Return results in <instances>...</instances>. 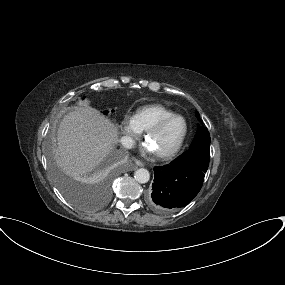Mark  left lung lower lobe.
<instances>
[{"label": "left lung lower lobe", "mask_w": 285, "mask_h": 285, "mask_svg": "<svg viewBox=\"0 0 285 285\" xmlns=\"http://www.w3.org/2000/svg\"><path fill=\"white\" fill-rule=\"evenodd\" d=\"M205 173L184 165L154 168V182L148 203L157 212L167 213L189 204L200 191Z\"/></svg>", "instance_id": "left-lung-lower-lobe-1"}]
</instances>
